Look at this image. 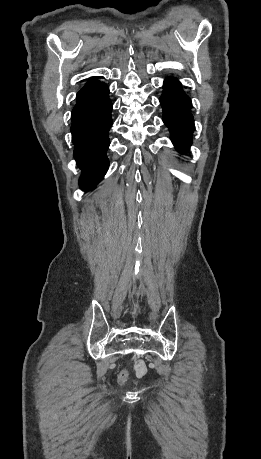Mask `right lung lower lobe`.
Returning a JSON list of instances; mask_svg holds the SVG:
<instances>
[{"instance_id":"right-lung-lower-lobe-1","label":"right lung lower lobe","mask_w":261,"mask_h":459,"mask_svg":"<svg viewBox=\"0 0 261 459\" xmlns=\"http://www.w3.org/2000/svg\"><path fill=\"white\" fill-rule=\"evenodd\" d=\"M108 94L106 84L95 86L77 97L71 114L74 157L82 169L79 184L87 191L101 181L109 166L106 151L112 126V104Z\"/></svg>"}]
</instances>
